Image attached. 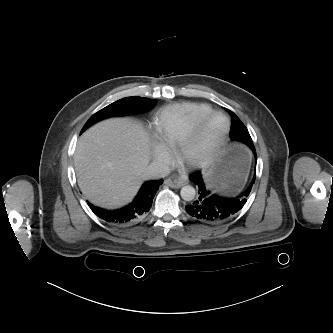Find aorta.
<instances>
[{
	"label": "aorta",
	"mask_w": 333,
	"mask_h": 333,
	"mask_svg": "<svg viewBox=\"0 0 333 333\" xmlns=\"http://www.w3.org/2000/svg\"><path fill=\"white\" fill-rule=\"evenodd\" d=\"M180 195L183 200L191 201L195 198L196 191H195L194 187H192L190 185H186L181 188Z\"/></svg>",
	"instance_id": "obj_1"
}]
</instances>
